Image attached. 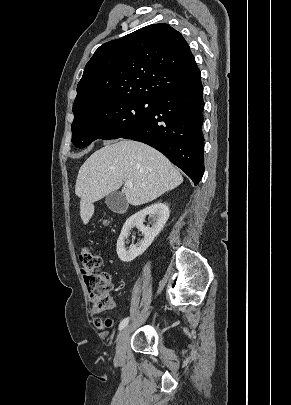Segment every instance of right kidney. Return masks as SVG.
<instances>
[{"label":"right kidney","mask_w":291,"mask_h":405,"mask_svg":"<svg viewBox=\"0 0 291 405\" xmlns=\"http://www.w3.org/2000/svg\"><path fill=\"white\" fill-rule=\"evenodd\" d=\"M169 214L168 206L164 203L158 202L128 218L123 225L121 234L117 240V254L119 259L123 262H131L144 253V251L151 245L154 238L163 229L169 218ZM148 215L156 220L151 228L143 224L145 217ZM135 226L142 232V234H144V239L136 245H132L127 250L125 248V239L128 237L130 230Z\"/></svg>","instance_id":"right-kidney-1"}]
</instances>
